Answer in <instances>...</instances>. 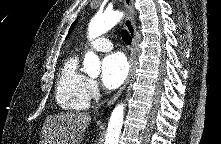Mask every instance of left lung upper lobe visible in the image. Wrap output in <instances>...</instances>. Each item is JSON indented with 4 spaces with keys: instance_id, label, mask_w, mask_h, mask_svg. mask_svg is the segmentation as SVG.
<instances>
[{
    "instance_id": "left-lung-upper-lobe-1",
    "label": "left lung upper lobe",
    "mask_w": 221,
    "mask_h": 144,
    "mask_svg": "<svg viewBox=\"0 0 221 144\" xmlns=\"http://www.w3.org/2000/svg\"><path fill=\"white\" fill-rule=\"evenodd\" d=\"M76 22H77V20L72 24V26H71V28L69 30L68 36L71 34L72 30L74 29V26H75Z\"/></svg>"
}]
</instances>
